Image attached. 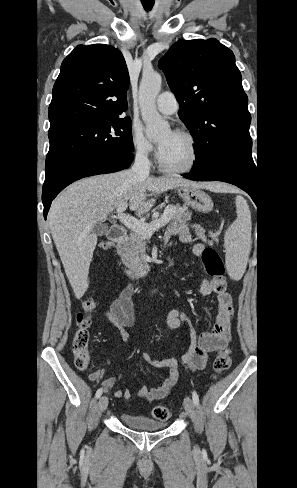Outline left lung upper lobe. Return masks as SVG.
Masks as SVG:
<instances>
[{"label":"left lung upper lobe","instance_id":"1","mask_svg":"<svg viewBox=\"0 0 297 488\" xmlns=\"http://www.w3.org/2000/svg\"><path fill=\"white\" fill-rule=\"evenodd\" d=\"M159 67L195 141L198 159L192 169L235 164L255 174L248 98L233 52L214 38L180 40Z\"/></svg>","mask_w":297,"mask_h":488}]
</instances>
